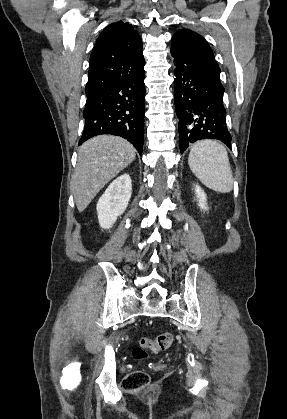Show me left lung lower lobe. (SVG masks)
Instances as JSON below:
<instances>
[{"label":"left lung lower lobe","instance_id":"left-lung-lower-lobe-1","mask_svg":"<svg viewBox=\"0 0 287 419\" xmlns=\"http://www.w3.org/2000/svg\"><path fill=\"white\" fill-rule=\"evenodd\" d=\"M174 74L180 152L201 139L220 140L231 147L220 70H189L176 66Z\"/></svg>","mask_w":287,"mask_h":419}]
</instances>
